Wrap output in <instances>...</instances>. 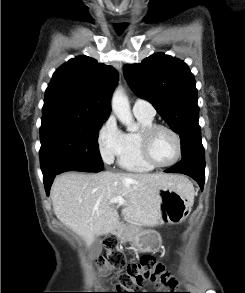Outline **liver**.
Masks as SVG:
<instances>
[{"instance_id": "liver-1", "label": "liver", "mask_w": 245, "mask_h": 293, "mask_svg": "<svg viewBox=\"0 0 245 293\" xmlns=\"http://www.w3.org/2000/svg\"><path fill=\"white\" fill-rule=\"evenodd\" d=\"M176 188L193 200L188 180L180 175L70 172L56 177L51 200L56 217L81 236L89 247L96 236L107 235L119 226V215L110 200L122 197L124 217L145 226L160 222L159 190Z\"/></svg>"}]
</instances>
